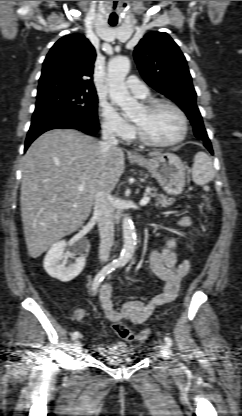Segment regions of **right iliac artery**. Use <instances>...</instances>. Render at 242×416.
I'll return each mask as SVG.
<instances>
[{"label":"right iliac artery","instance_id":"82829eb1","mask_svg":"<svg viewBox=\"0 0 242 416\" xmlns=\"http://www.w3.org/2000/svg\"><path fill=\"white\" fill-rule=\"evenodd\" d=\"M119 266V263L112 262L108 265H106L94 278L92 283V290L95 292L100 283L103 281V279L111 273L113 270H115ZM80 333L78 331H75L72 333V339L75 340L79 337Z\"/></svg>","mask_w":242,"mask_h":416}]
</instances>
